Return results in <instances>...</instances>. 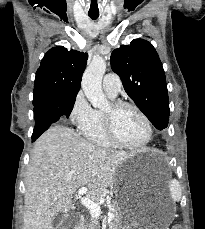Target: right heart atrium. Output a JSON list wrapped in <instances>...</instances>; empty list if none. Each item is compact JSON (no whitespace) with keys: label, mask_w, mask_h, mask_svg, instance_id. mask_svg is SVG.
Instances as JSON below:
<instances>
[{"label":"right heart atrium","mask_w":205,"mask_h":229,"mask_svg":"<svg viewBox=\"0 0 205 229\" xmlns=\"http://www.w3.org/2000/svg\"><path fill=\"white\" fill-rule=\"evenodd\" d=\"M94 117V109L87 101L84 93L79 91L71 104L69 120L78 129H83L91 123Z\"/></svg>","instance_id":"d8ad5b80"}]
</instances>
